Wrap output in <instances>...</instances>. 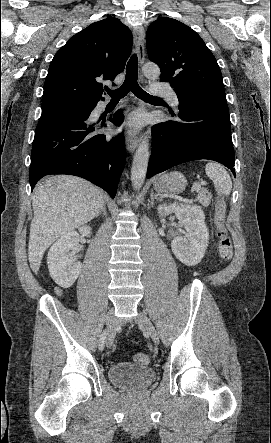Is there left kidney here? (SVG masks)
<instances>
[{"label": "left kidney", "instance_id": "obj_1", "mask_svg": "<svg viewBox=\"0 0 271 443\" xmlns=\"http://www.w3.org/2000/svg\"><path fill=\"white\" fill-rule=\"evenodd\" d=\"M159 216L175 214L179 222H182L187 233L181 237L172 239L171 247L177 259L185 265H196L204 257L208 247L209 233L205 223V216L200 206H158Z\"/></svg>", "mask_w": 271, "mask_h": 443}]
</instances>
